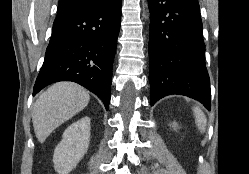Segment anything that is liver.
I'll return each instance as SVG.
<instances>
[{"mask_svg": "<svg viewBox=\"0 0 249 174\" xmlns=\"http://www.w3.org/2000/svg\"><path fill=\"white\" fill-rule=\"evenodd\" d=\"M86 89L73 82H58L50 86L36 100L32 123L40 143L62 123L83 110L89 103Z\"/></svg>", "mask_w": 249, "mask_h": 174, "instance_id": "liver-1", "label": "liver"}]
</instances>
